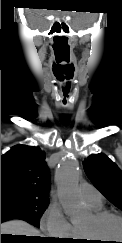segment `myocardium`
Returning <instances> with one entry per match:
<instances>
[{"label":"myocardium","mask_w":122,"mask_h":243,"mask_svg":"<svg viewBox=\"0 0 122 243\" xmlns=\"http://www.w3.org/2000/svg\"><path fill=\"white\" fill-rule=\"evenodd\" d=\"M92 220L94 222V224L98 225L100 223H102L104 220L108 219V218H117L120 221H122V215H120L119 213L116 212H112V211H107V210H102L99 212H93L91 214ZM80 233L82 235V238L85 240H95L96 238H99L97 236H95L92 232L91 229H82L79 228Z\"/></svg>","instance_id":"1"}]
</instances>
